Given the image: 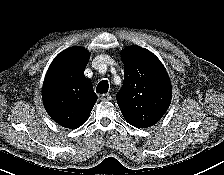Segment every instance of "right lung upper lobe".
<instances>
[{"mask_svg": "<svg viewBox=\"0 0 224 175\" xmlns=\"http://www.w3.org/2000/svg\"><path fill=\"white\" fill-rule=\"evenodd\" d=\"M89 52L81 47L62 51L46 74L42 98L49 116L59 125L76 129L89 117L97 95L84 76Z\"/></svg>", "mask_w": 224, "mask_h": 175, "instance_id": "right-lung-upper-lobe-1", "label": "right lung upper lobe"}]
</instances>
